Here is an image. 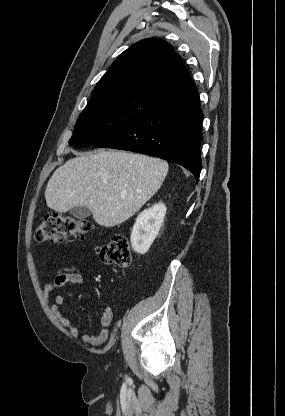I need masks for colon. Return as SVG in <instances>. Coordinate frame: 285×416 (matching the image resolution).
<instances>
[{
  "label": "colon",
  "instance_id": "5ec220e1",
  "mask_svg": "<svg viewBox=\"0 0 285 416\" xmlns=\"http://www.w3.org/2000/svg\"><path fill=\"white\" fill-rule=\"evenodd\" d=\"M92 229L93 224L86 219L56 213L44 218L38 225L34 237L38 242H71L85 236ZM100 258L107 264L129 266L131 254L127 238L123 234H113L100 248Z\"/></svg>",
  "mask_w": 285,
  "mask_h": 416
}]
</instances>
